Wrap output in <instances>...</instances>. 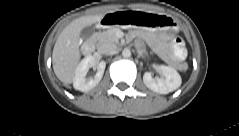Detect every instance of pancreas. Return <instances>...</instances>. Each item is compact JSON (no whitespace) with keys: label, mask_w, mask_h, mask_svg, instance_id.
I'll return each instance as SVG.
<instances>
[{"label":"pancreas","mask_w":239,"mask_h":136,"mask_svg":"<svg viewBox=\"0 0 239 136\" xmlns=\"http://www.w3.org/2000/svg\"><path fill=\"white\" fill-rule=\"evenodd\" d=\"M120 31L119 27H111L107 31L99 32L96 34V37L99 43L105 42H119V38L117 37V32Z\"/></svg>","instance_id":"obj_1"}]
</instances>
